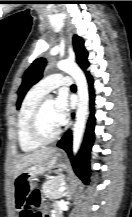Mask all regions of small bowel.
I'll return each instance as SVG.
<instances>
[{"label":"small bowel","instance_id":"obj_1","mask_svg":"<svg viewBox=\"0 0 132 217\" xmlns=\"http://www.w3.org/2000/svg\"><path fill=\"white\" fill-rule=\"evenodd\" d=\"M28 194L19 192L16 196V208L19 211V217H32L31 210L26 204V197ZM42 217H49L48 215H43Z\"/></svg>","mask_w":132,"mask_h":217}]
</instances>
